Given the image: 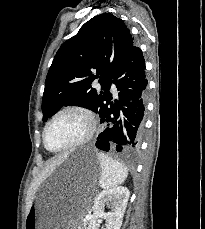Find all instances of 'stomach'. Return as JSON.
I'll return each instance as SVG.
<instances>
[{"label": "stomach", "instance_id": "1", "mask_svg": "<svg viewBox=\"0 0 205 229\" xmlns=\"http://www.w3.org/2000/svg\"><path fill=\"white\" fill-rule=\"evenodd\" d=\"M62 168V188L36 198L27 212L24 229H80L101 166L93 150L80 149L69 153ZM67 187L68 191L63 190Z\"/></svg>", "mask_w": 205, "mask_h": 229}]
</instances>
